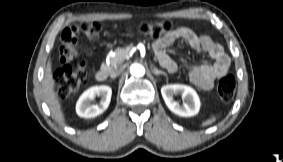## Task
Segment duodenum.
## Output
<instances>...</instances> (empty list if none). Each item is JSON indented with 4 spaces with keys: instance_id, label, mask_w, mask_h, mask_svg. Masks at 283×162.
Segmentation results:
<instances>
[{
    "instance_id": "1",
    "label": "duodenum",
    "mask_w": 283,
    "mask_h": 162,
    "mask_svg": "<svg viewBox=\"0 0 283 162\" xmlns=\"http://www.w3.org/2000/svg\"><path fill=\"white\" fill-rule=\"evenodd\" d=\"M107 77H108V71L106 68H101L96 73V79L99 82L105 81Z\"/></svg>"
}]
</instances>
